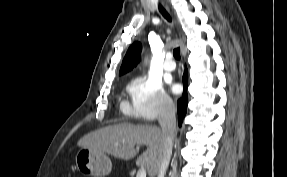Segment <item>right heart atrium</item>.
I'll list each match as a JSON object with an SVG mask.
<instances>
[{
    "instance_id": "obj_1",
    "label": "right heart atrium",
    "mask_w": 287,
    "mask_h": 177,
    "mask_svg": "<svg viewBox=\"0 0 287 177\" xmlns=\"http://www.w3.org/2000/svg\"><path fill=\"white\" fill-rule=\"evenodd\" d=\"M132 110L145 123L157 119L172 110L173 102L160 78L148 74L132 79L128 86Z\"/></svg>"
}]
</instances>
